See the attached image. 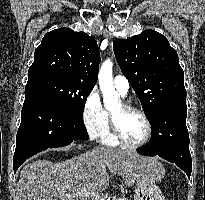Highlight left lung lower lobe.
Listing matches in <instances>:
<instances>
[{
    "instance_id": "obj_1",
    "label": "left lung lower lobe",
    "mask_w": 205,
    "mask_h": 200,
    "mask_svg": "<svg viewBox=\"0 0 205 200\" xmlns=\"http://www.w3.org/2000/svg\"><path fill=\"white\" fill-rule=\"evenodd\" d=\"M186 116V99L166 103L150 122L152 136L149 143L137 152L146 156H159L175 163L190 178L192 159L189 151Z\"/></svg>"
}]
</instances>
